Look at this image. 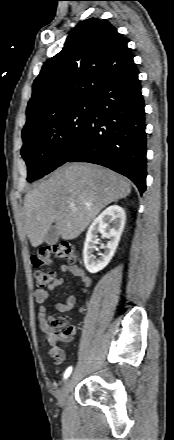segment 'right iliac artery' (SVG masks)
<instances>
[{
	"label": "right iliac artery",
	"instance_id": "82829eb1",
	"mask_svg": "<svg viewBox=\"0 0 174 440\" xmlns=\"http://www.w3.org/2000/svg\"><path fill=\"white\" fill-rule=\"evenodd\" d=\"M71 372H72V367L70 366V367H68V368L66 369V371H65L64 379H66L67 377H69V375L71 374Z\"/></svg>",
	"mask_w": 174,
	"mask_h": 440
}]
</instances>
